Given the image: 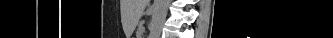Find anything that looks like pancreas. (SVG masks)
<instances>
[{
  "mask_svg": "<svg viewBox=\"0 0 333 38\" xmlns=\"http://www.w3.org/2000/svg\"><path fill=\"white\" fill-rule=\"evenodd\" d=\"M140 32L143 31V26H139V29H138Z\"/></svg>",
  "mask_w": 333,
  "mask_h": 38,
  "instance_id": "pancreas-1",
  "label": "pancreas"
}]
</instances>
